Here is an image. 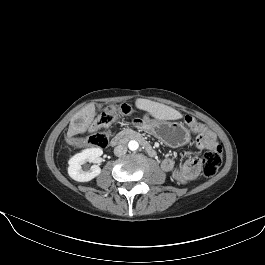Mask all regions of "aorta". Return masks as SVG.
Masks as SVG:
<instances>
[{
    "label": "aorta",
    "instance_id": "762f6f07",
    "mask_svg": "<svg viewBox=\"0 0 265 265\" xmlns=\"http://www.w3.org/2000/svg\"><path fill=\"white\" fill-rule=\"evenodd\" d=\"M128 148L131 151H136L139 148V143L136 140H131L128 143Z\"/></svg>",
    "mask_w": 265,
    "mask_h": 265
}]
</instances>
